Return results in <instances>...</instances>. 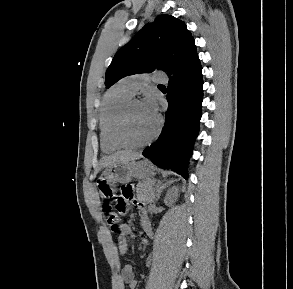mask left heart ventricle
Masks as SVG:
<instances>
[{
  "label": "left heart ventricle",
  "instance_id": "left-heart-ventricle-1",
  "mask_svg": "<svg viewBox=\"0 0 293 289\" xmlns=\"http://www.w3.org/2000/svg\"><path fill=\"white\" fill-rule=\"evenodd\" d=\"M156 125L157 118L148 113L144 104H135L128 114L125 133L131 142L141 143L153 134Z\"/></svg>",
  "mask_w": 293,
  "mask_h": 289
}]
</instances>
